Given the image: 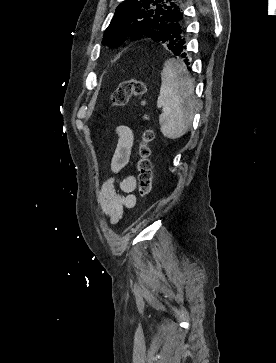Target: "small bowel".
Listing matches in <instances>:
<instances>
[{
  "label": "small bowel",
  "mask_w": 276,
  "mask_h": 363,
  "mask_svg": "<svg viewBox=\"0 0 276 363\" xmlns=\"http://www.w3.org/2000/svg\"><path fill=\"white\" fill-rule=\"evenodd\" d=\"M117 144L114 150L110 168L117 174L125 167L132 164V148L134 134L130 127L119 125L116 127ZM136 188V178L130 174L118 182L113 177L106 179L97 192V203L102 213L111 224H117L123 217L125 209L136 205V196L133 194Z\"/></svg>",
  "instance_id": "obj_1"
}]
</instances>
